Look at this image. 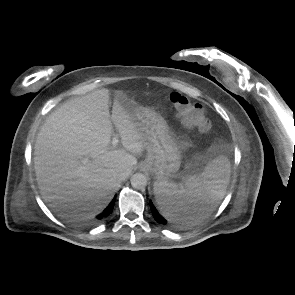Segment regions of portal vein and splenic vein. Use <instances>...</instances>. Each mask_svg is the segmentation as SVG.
I'll return each instance as SVG.
<instances>
[{
  "instance_id": "18ae733b",
  "label": "portal vein and splenic vein",
  "mask_w": 295,
  "mask_h": 295,
  "mask_svg": "<svg viewBox=\"0 0 295 295\" xmlns=\"http://www.w3.org/2000/svg\"><path fill=\"white\" fill-rule=\"evenodd\" d=\"M118 143H119V138H118V136L113 137V139H112V146H113V147H116V146L118 145ZM87 161H88V160L85 159V160H84V163H86Z\"/></svg>"
}]
</instances>
